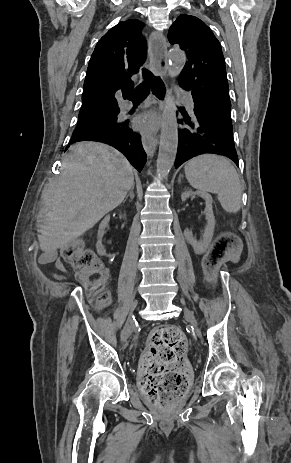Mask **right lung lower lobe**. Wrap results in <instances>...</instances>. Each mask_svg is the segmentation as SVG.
Here are the masks:
<instances>
[{
  "mask_svg": "<svg viewBox=\"0 0 291 463\" xmlns=\"http://www.w3.org/2000/svg\"><path fill=\"white\" fill-rule=\"evenodd\" d=\"M80 141H98L111 145L126 156L139 172L146 163V153L141 144V137L130 130L128 121L73 133L69 143Z\"/></svg>",
  "mask_w": 291,
  "mask_h": 463,
  "instance_id": "98d812e1",
  "label": "right lung lower lobe"
}]
</instances>
